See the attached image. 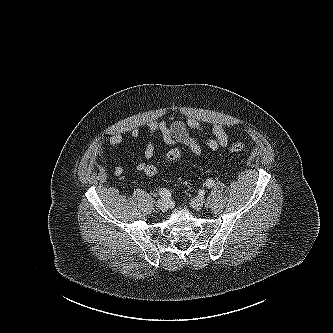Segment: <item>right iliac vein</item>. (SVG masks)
I'll return each instance as SVG.
<instances>
[{"label":"right iliac vein","mask_w":333,"mask_h":333,"mask_svg":"<svg viewBox=\"0 0 333 333\" xmlns=\"http://www.w3.org/2000/svg\"><path fill=\"white\" fill-rule=\"evenodd\" d=\"M157 208L162 211H166L168 209V201L166 199H160L156 202Z\"/></svg>","instance_id":"63e3f726"}]
</instances>
